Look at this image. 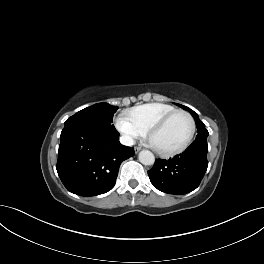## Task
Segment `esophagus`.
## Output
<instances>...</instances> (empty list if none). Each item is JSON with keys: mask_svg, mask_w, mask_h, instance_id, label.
<instances>
[{"mask_svg": "<svg viewBox=\"0 0 264 264\" xmlns=\"http://www.w3.org/2000/svg\"><path fill=\"white\" fill-rule=\"evenodd\" d=\"M140 150H141L140 147H135V148H134L135 153H138Z\"/></svg>", "mask_w": 264, "mask_h": 264, "instance_id": "1", "label": "esophagus"}]
</instances>
